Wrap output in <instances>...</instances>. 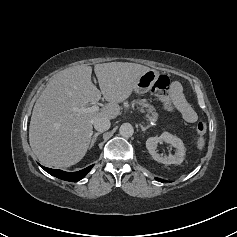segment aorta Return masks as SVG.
<instances>
[{"instance_id":"762f6f07","label":"aorta","mask_w":237,"mask_h":237,"mask_svg":"<svg viewBox=\"0 0 237 237\" xmlns=\"http://www.w3.org/2000/svg\"><path fill=\"white\" fill-rule=\"evenodd\" d=\"M119 133L124 138H129L134 133V128L130 123H123L120 126Z\"/></svg>"}]
</instances>
